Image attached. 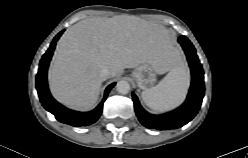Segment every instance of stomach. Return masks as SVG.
I'll list each match as a JSON object with an SVG mask.
<instances>
[{
    "label": "stomach",
    "instance_id": "0dacf381",
    "mask_svg": "<svg viewBox=\"0 0 248 158\" xmlns=\"http://www.w3.org/2000/svg\"><path fill=\"white\" fill-rule=\"evenodd\" d=\"M176 64L171 57L164 60L161 68L167 72L171 70ZM158 74L155 67L149 63L141 64L132 72V77L136 81L139 88L147 90L156 83V75Z\"/></svg>",
    "mask_w": 248,
    "mask_h": 158
}]
</instances>
